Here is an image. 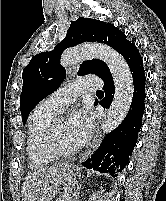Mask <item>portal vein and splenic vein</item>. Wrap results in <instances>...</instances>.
<instances>
[{"label": "portal vein and splenic vein", "mask_w": 166, "mask_h": 201, "mask_svg": "<svg viewBox=\"0 0 166 201\" xmlns=\"http://www.w3.org/2000/svg\"><path fill=\"white\" fill-rule=\"evenodd\" d=\"M64 190H65V191H68V189H67V188H65Z\"/></svg>", "instance_id": "18ae733b"}]
</instances>
